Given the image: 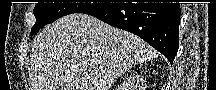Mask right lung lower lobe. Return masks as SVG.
<instances>
[{
  "label": "right lung lower lobe",
  "mask_w": 216,
  "mask_h": 90,
  "mask_svg": "<svg viewBox=\"0 0 216 90\" xmlns=\"http://www.w3.org/2000/svg\"><path fill=\"white\" fill-rule=\"evenodd\" d=\"M86 14L138 35L173 63L179 44V3H109Z\"/></svg>",
  "instance_id": "98d812e1"
}]
</instances>
